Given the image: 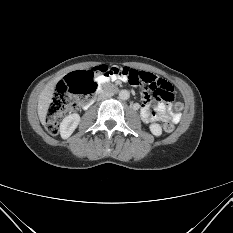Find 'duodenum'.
<instances>
[{
  "label": "duodenum",
  "instance_id": "1",
  "mask_svg": "<svg viewBox=\"0 0 233 233\" xmlns=\"http://www.w3.org/2000/svg\"><path fill=\"white\" fill-rule=\"evenodd\" d=\"M113 87L109 86V85H102L99 89H98V94H103L105 93V90H112Z\"/></svg>",
  "mask_w": 233,
  "mask_h": 233
}]
</instances>
